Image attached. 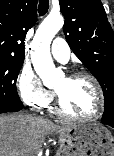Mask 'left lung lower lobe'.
<instances>
[{"instance_id":"obj_1","label":"left lung lower lobe","mask_w":114,"mask_h":156,"mask_svg":"<svg viewBox=\"0 0 114 156\" xmlns=\"http://www.w3.org/2000/svg\"><path fill=\"white\" fill-rule=\"evenodd\" d=\"M102 123L106 124V125H109L111 127L114 128V122H107V121H102Z\"/></svg>"}]
</instances>
